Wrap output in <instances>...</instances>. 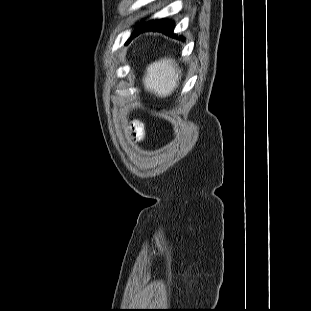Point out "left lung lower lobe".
<instances>
[{
    "instance_id": "0a47b994",
    "label": "left lung lower lobe",
    "mask_w": 311,
    "mask_h": 311,
    "mask_svg": "<svg viewBox=\"0 0 311 311\" xmlns=\"http://www.w3.org/2000/svg\"><path fill=\"white\" fill-rule=\"evenodd\" d=\"M173 30H174V23L170 20L167 19L152 20L144 24H139L135 29V31H133L127 43H129L134 37L138 36L140 33H143L145 31H159L163 32L165 35L175 37L178 39H183V37L176 36L173 33Z\"/></svg>"
}]
</instances>
